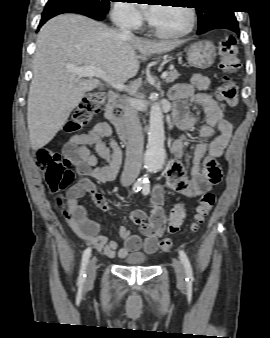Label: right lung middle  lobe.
I'll use <instances>...</instances> for the list:
<instances>
[{
  "instance_id": "1",
  "label": "right lung middle lobe",
  "mask_w": 270,
  "mask_h": 338,
  "mask_svg": "<svg viewBox=\"0 0 270 338\" xmlns=\"http://www.w3.org/2000/svg\"><path fill=\"white\" fill-rule=\"evenodd\" d=\"M112 0H48V8H84L104 14L108 13L109 3Z\"/></svg>"
}]
</instances>
